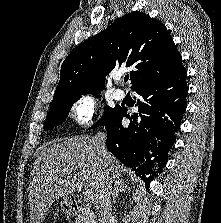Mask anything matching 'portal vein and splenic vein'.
I'll return each instance as SVG.
<instances>
[{
	"label": "portal vein and splenic vein",
	"instance_id": "18ae733b",
	"mask_svg": "<svg viewBox=\"0 0 221 223\" xmlns=\"http://www.w3.org/2000/svg\"><path fill=\"white\" fill-rule=\"evenodd\" d=\"M85 199L87 202L93 201L94 200V193L92 190H86L85 191Z\"/></svg>",
	"mask_w": 221,
	"mask_h": 223
}]
</instances>
